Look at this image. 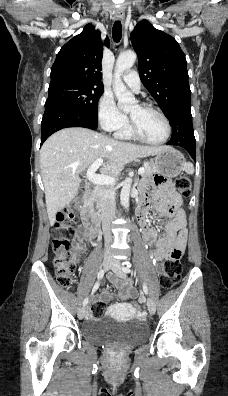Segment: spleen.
Returning <instances> with one entry per match:
<instances>
[{"instance_id":"1","label":"spleen","mask_w":228,"mask_h":396,"mask_svg":"<svg viewBox=\"0 0 228 396\" xmlns=\"http://www.w3.org/2000/svg\"><path fill=\"white\" fill-rule=\"evenodd\" d=\"M185 172L189 175H192L194 173V166L192 163L188 162L185 163L184 168Z\"/></svg>"}]
</instances>
